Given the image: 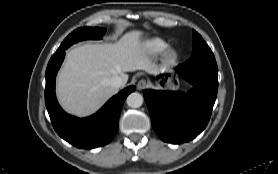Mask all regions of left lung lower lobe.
<instances>
[{"label":"left lung lower lobe","instance_id":"left-lung-lower-lobe-1","mask_svg":"<svg viewBox=\"0 0 278 174\" xmlns=\"http://www.w3.org/2000/svg\"><path fill=\"white\" fill-rule=\"evenodd\" d=\"M176 73L193 85L187 93L146 89L152 126L165 142H188L207 126L218 89V70L202 63L179 65Z\"/></svg>","mask_w":278,"mask_h":174}]
</instances>
